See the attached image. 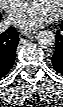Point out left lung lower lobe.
I'll use <instances>...</instances> for the list:
<instances>
[{
	"mask_svg": "<svg viewBox=\"0 0 63 107\" xmlns=\"http://www.w3.org/2000/svg\"><path fill=\"white\" fill-rule=\"evenodd\" d=\"M60 28L61 30H58L56 35V50L52 56V63L54 69L63 75V21Z\"/></svg>",
	"mask_w": 63,
	"mask_h": 107,
	"instance_id": "left-lung-lower-lobe-1",
	"label": "left lung lower lobe"
}]
</instances>
